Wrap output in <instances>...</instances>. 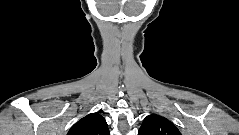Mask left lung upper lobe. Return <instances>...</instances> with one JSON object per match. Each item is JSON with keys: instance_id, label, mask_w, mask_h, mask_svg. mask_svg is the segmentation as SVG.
Returning <instances> with one entry per match:
<instances>
[{"instance_id": "left-lung-upper-lobe-1", "label": "left lung upper lobe", "mask_w": 239, "mask_h": 135, "mask_svg": "<svg viewBox=\"0 0 239 135\" xmlns=\"http://www.w3.org/2000/svg\"><path fill=\"white\" fill-rule=\"evenodd\" d=\"M138 135H181V133L168 119L151 114L143 120Z\"/></svg>"}]
</instances>
